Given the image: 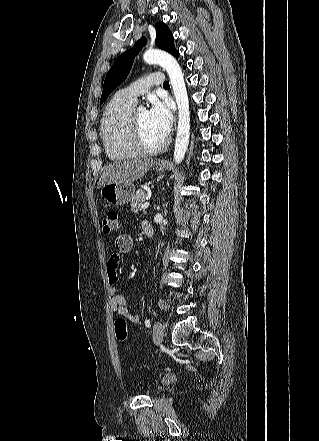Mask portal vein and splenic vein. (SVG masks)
Segmentation results:
<instances>
[{
  "mask_svg": "<svg viewBox=\"0 0 319 441\" xmlns=\"http://www.w3.org/2000/svg\"><path fill=\"white\" fill-rule=\"evenodd\" d=\"M148 206H149V202H145L142 204L141 208L146 209V208H148Z\"/></svg>",
  "mask_w": 319,
  "mask_h": 441,
  "instance_id": "obj_1",
  "label": "portal vein and splenic vein"
}]
</instances>
